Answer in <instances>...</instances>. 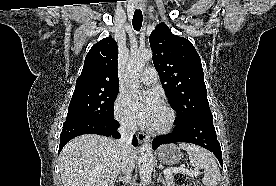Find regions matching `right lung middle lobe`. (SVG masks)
<instances>
[{
  "mask_svg": "<svg viewBox=\"0 0 276 186\" xmlns=\"http://www.w3.org/2000/svg\"><path fill=\"white\" fill-rule=\"evenodd\" d=\"M119 87L76 88L69 104L66 121L79 118L110 119Z\"/></svg>",
  "mask_w": 276,
  "mask_h": 186,
  "instance_id": "right-lung-middle-lobe-1",
  "label": "right lung middle lobe"
}]
</instances>
